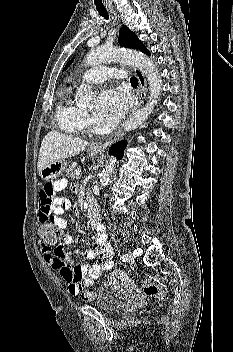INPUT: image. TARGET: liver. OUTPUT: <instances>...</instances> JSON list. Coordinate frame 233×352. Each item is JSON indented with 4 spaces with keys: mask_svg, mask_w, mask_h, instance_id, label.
<instances>
[{
    "mask_svg": "<svg viewBox=\"0 0 233 352\" xmlns=\"http://www.w3.org/2000/svg\"><path fill=\"white\" fill-rule=\"evenodd\" d=\"M88 146V142L57 131H50L44 137L38 157L37 169L41 170L48 164L71 158L82 152Z\"/></svg>",
    "mask_w": 233,
    "mask_h": 352,
    "instance_id": "1",
    "label": "liver"
}]
</instances>
